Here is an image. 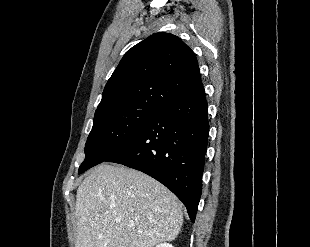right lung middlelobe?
Listing matches in <instances>:
<instances>
[{
  "label": "right lung middle lobe",
  "mask_w": 310,
  "mask_h": 247,
  "mask_svg": "<svg viewBox=\"0 0 310 247\" xmlns=\"http://www.w3.org/2000/svg\"><path fill=\"white\" fill-rule=\"evenodd\" d=\"M159 109L136 106L94 117L85 146V160L78 174L104 162L128 143Z\"/></svg>",
  "instance_id": "1"
}]
</instances>
